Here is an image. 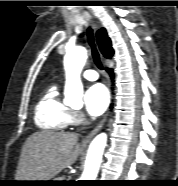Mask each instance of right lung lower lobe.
<instances>
[{"instance_id": "obj_1", "label": "right lung lower lobe", "mask_w": 178, "mask_h": 186, "mask_svg": "<svg viewBox=\"0 0 178 186\" xmlns=\"http://www.w3.org/2000/svg\"><path fill=\"white\" fill-rule=\"evenodd\" d=\"M106 71L108 72V74L110 75L111 78H113V71L110 68H106Z\"/></svg>"}]
</instances>
